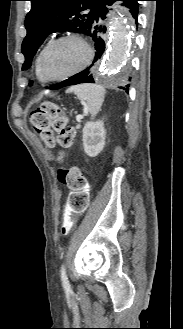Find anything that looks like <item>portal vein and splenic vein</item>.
<instances>
[{"mask_svg":"<svg viewBox=\"0 0 183 329\" xmlns=\"http://www.w3.org/2000/svg\"><path fill=\"white\" fill-rule=\"evenodd\" d=\"M82 118H83V115H77V116H76V120H77V121H80Z\"/></svg>","mask_w":183,"mask_h":329,"instance_id":"portal-vein-and-splenic-vein-1","label":"portal vein and splenic vein"}]
</instances>
